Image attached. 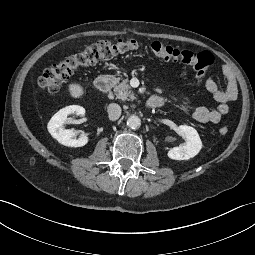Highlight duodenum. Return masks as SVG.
Instances as JSON below:
<instances>
[{
	"label": "duodenum",
	"instance_id": "1",
	"mask_svg": "<svg viewBox=\"0 0 255 255\" xmlns=\"http://www.w3.org/2000/svg\"><path fill=\"white\" fill-rule=\"evenodd\" d=\"M114 77L110 74H100L95 79V86L101 93H108L112 87ZM160 106L159 100L155 97H151L146 101V107L148 109H156Z\"/></svg>",
	"mask_w": 255,
	"mask_h": 255
}]
</instances>
